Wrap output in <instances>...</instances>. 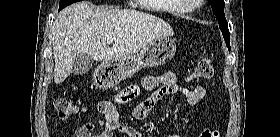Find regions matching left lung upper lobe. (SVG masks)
Returning <instances> with one entry per match:
<instances>
[{
  "mask_svg": "<svg viewBox=\"0 0 280 137\" xmlns=\"http://www.w3.org/2000/svg\"><path fill=\"white\" fill-rule=\"evenodd\" d=\"M208 2L212 5V10L216 16V19L218 20L219 28L226 42V46L230 50V40H229L230 34H229L228 24L224 14L225 2L224 0H208Z\"/></svg>",
  "mask_w": 280,
  "mask_h": 137,
  "instance_id": "obj_1",
  "label": "left lung upper lobe"
}]
</instances>
